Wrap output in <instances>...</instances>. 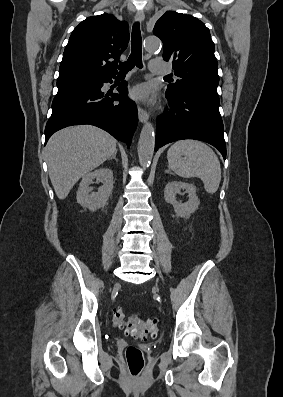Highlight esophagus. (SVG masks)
I'll list each match as a JSON object with an SVG mask.
<instances>
[{"label": "esophagus", "instance_id": "1", "mask_svg": "<svg viewBox=\"0 0 283 397\" xmlns=\"http://www.w3.org/2000/svg\"><path fill=\"white\" fill-rule=\"evenodd\" d=\"M144 13L143 11H137L135 14V20L138 22L144 21ZM138 118L140 122H146L149 118V115L146 110H144L142 107L138 106Z\"/></svg>", "mask_w": 283, "mask_h": 397}]
</instances>
